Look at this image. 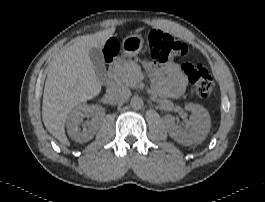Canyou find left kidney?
Listing matches in <instances>:
<instances>
[{"label": "left kidney", "mask_w": 265, "mask_h": 202, "mask_svg": "<svg viewBox=\"0 0 265 202\" xmlns=\"http://www.w3.org/2000/svg\"><path fill=\"white\" fill-rule=\"evenodd\" d=\"M185 109L191 112L190 124L191 129L187 130L176 122V118L172 115H166L164 121L166 123L168 133L171 138L182 145H192L201 143L207 136L211 127V120L208 111L193 103L185 105Z\"/></svg>", "instance_id": "1"}]
</instances>
